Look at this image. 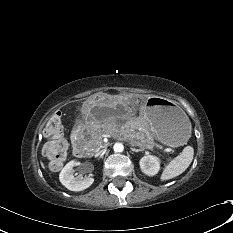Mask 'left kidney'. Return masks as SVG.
I'll return each mask as SVG.
<instances>
[{"label":"left kidney","mask_w":233,"mask_h":233,"mask_svg":"<svg viewBox=\"0 0 233 233\" xmlns=\"http://www.w3.org/2000/svg\"><path fill=\"white\" fill-rule=\"evenodd\" d=\"M140 167L143 173L148 176H153L160 169V161L156 156L147 155L141 158Z\"/></svg>","instance_id":"1"}]
</instances>
